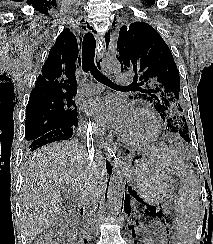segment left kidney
<instances>
[{"mask_svg":"<svg viewBox=\"0 0 213 244\" xmlns=\"http://www.w3.org/2000/svg\"><path fill=\"white\" fill-rule=\"evenodd\" d=\"M154 236H156V238L151 244H167L166 233L163 230H158L154 233Z\"/></svg>","mask_w":213,"mask_h":244,"instance_id":"obj_1","label":"left kidney"}]
</instances>
